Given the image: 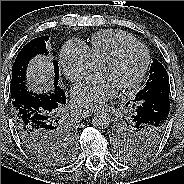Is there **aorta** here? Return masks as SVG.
<instances>
[{
    "instance_id": "aorta-1",
    "label": "aorta",
    "mask_w": 184,
    "mask_h": 184,
    "mask_svg": "<svg viewBox=\"0 0 184 184\" xmlns=\"http://www.w3.org/2000/svg\"><path fill=\"white\" fill-rule=\"evenodd\" d=\"M92 124L99 128H107L110 124V115L105 111H98L92 116Z\"/></svg>"
}]
</instances>
